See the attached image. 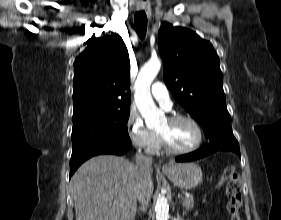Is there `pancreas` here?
<instances>
[{
  "label": "pancreas",
  "mask_w": 281,
  "mask_h": 220,
  "mask_svg": "<svg viewBox=\"0 0 281 220\" xmlns=\"http://www.w3.org/2000/svg\"><path fill=\"white\" fill-rule=\"evenodd\" d=\"M182 204H183V207L186 209V210H189V209H192L193 206H194V199L192 196L190 197H184L183 198V201H182Z\"/></svg>",
  "instance_id": "obj_1"
}]
</instances>
